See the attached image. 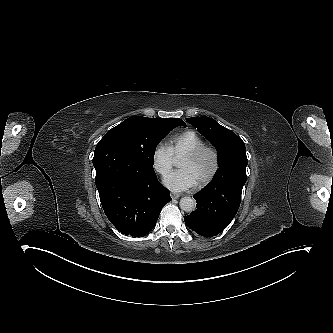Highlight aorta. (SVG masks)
<instances>
[{
    "instance_id": "obj_1",
    "label": "aorta",
    "mask_w": 333,
    "mask_h": 333,
    "mask_svg": "<svg viewBox=\"0 0 333 333\" xmlns=\"http://www.w3.org/2000/svg\"><path fill=\"white\" fill-rule=\"evenodd\" d=\"M180 208L185 212H192L196 208V201L191 197H183L180 200Z\"/></svg>"
}]
</instances>
